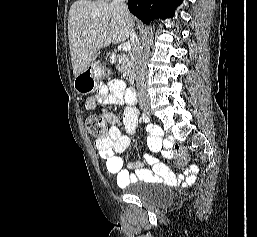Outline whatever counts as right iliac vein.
<instances>
[{"label": "right iliac vein", "instance_id": "63e3f726", "mask_svg": "<svg viewBox=\"0 0 257 237\" xmlns=\"http://www.w3.org/2000/svg\"><path fill=\"white\" fill-rule=\"evenodd\" d=\"M144 110L147 112V113H150V109L148 107H145Z\"/></svg>", "mask_w": 257, "mask_h": 237}]
</instances>
